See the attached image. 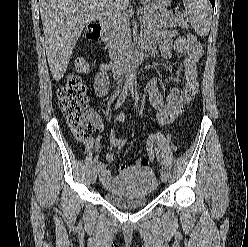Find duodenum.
Masks as SVG:
<instances>
[{
    "mask_svg": "<svg viewBox=\"0 0 248 247\" xmlns=\"http://www.w3.org/2000/svg\"><path fill=\"white\" fill-rule=\"evenodd\" d=\"M93 27L98 32L99 38L102 37L106 31V23L103 20L95 22ZM144 57L145 54L141 51H129L115 56L112 60L111 67L116 73H125L140 65L143 62Z\"/></svg>",
    "mask_w": 248,
    "mask_h": 247,
    "instance_id": "obj_1",
    "label": "duodenum"
}]
</instances>
